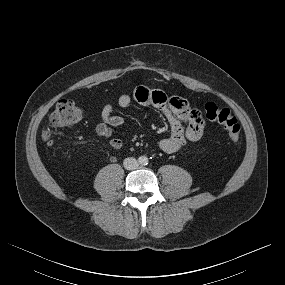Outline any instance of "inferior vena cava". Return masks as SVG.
Wrapping results in <instances>:
<instances>
[{"label": "inferior vena cava", "instance_id": "inferior-vena-cava-1", "mask_svg": "<svg viewBox=\"0 0 285 285\" xmlns=\"http://www.w3.org/2000/svg\"><path fill=\"white\" fill-rule=\"evenodd\" d=\"M123 165L127 170H135L138 167V162L133 157H128L124 160Z\"/></svg>", "mask_w": 285, "mask_h": 285}]
</instances>
